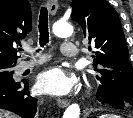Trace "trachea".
Here are the masks:
<instances>
[{
    "mask_svg": "<svg viewBox=\"0 0 133 118\" xmlns=\"http://www.w3.org/2000/svg\"><path fill=\"white\" fill-rule=\"evenodd\" d=\"M38 28L40 33V46L43 47L49 42L48 11L46 7L41 8Z\"/></svg>",
    "mask_w": 133,
    "mask_h": 118,
    "instance_id": "1",
    "label": "trachea"
}]
</instances>
